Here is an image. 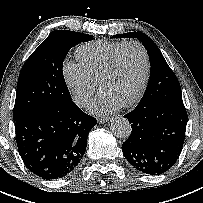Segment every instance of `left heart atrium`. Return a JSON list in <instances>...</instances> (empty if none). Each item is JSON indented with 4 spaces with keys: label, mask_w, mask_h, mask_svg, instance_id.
Listing matches in <instances>:
<instances>
[{
    "label": "left heart atrium",
    "mask_w": 203,
    "mask_h": 203,
    "mask_svg": "<svg viewBox=\"0 0 203 203\" xmlns=\"http://www.w3.org/2000/svg\"><path fill=\"white\" fill-rule=\"evenodd\" d=\"M121 106V102L106 93H102L90 103L89 109L93 113L104 115L118 110Z\"/></svg>",
    "instance_id": "obj_1"
}]
</instances>
